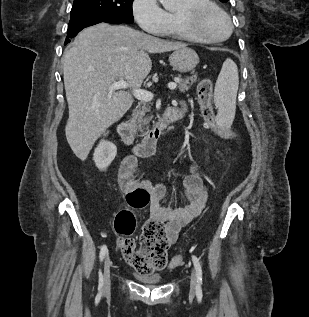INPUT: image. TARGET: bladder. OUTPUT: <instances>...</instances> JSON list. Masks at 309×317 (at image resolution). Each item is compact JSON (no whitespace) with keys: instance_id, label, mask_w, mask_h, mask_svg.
<instances>
[{"instance_id":"bladder-1","label":"bladder","mask_w":309,"mask_h":317,"mask_svg":"<svg viewBox=\"0 0 309 317\" xmlns=\"http://www.w3.org/2000/svg\"><path fill=\"white\" fill-rule=\"evenodd\" d=\"M135 278L145 284H158L162 281V277L158 273L151 274H134Z\"/></svg>"}]
</instances>
